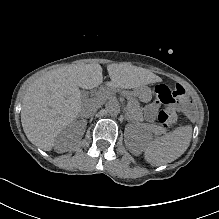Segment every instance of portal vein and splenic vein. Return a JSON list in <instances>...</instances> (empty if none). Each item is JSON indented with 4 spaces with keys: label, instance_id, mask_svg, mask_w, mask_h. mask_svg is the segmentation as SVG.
<instances>
[{
    "label": "portal vein and splenic vein",
    "instance_id": "18ae733b",
    "mask_svg": "<svg viewBox=\"0 0 219 219\" xmlns=\"http://www.w3.org/2000/svg\"><path fill=\"white\" fill-rule=\"evenodd\" d=\"M99 94L102 95L101 90H100ZM104 95H107L108 98L111 99V100H112V98H113V96H114L113 93H110V94H109V93H108V90H107V93H105Z\"/></svg>",
    "mask_w": 219,
    "mask_h": 219
}]
</instances>
